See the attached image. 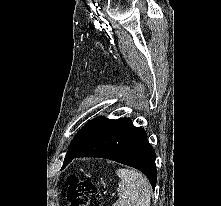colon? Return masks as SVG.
I'll return each instance as SVG.
<instances>
[{"label": "colon", "instance_id": "1", "mask_svg": "<svg viewBox=\"0 0 221 206\" xmlns=\"http://www.w3.org/2000/svg\"><path fill=\"white\" fill-rule=\"evenodd\" d=\"M67 197L72 206H102V197L95 184L76 176L69 178Z\"/></svg>", "mask_w": 221, "mask_h": 206}]
</instances>
